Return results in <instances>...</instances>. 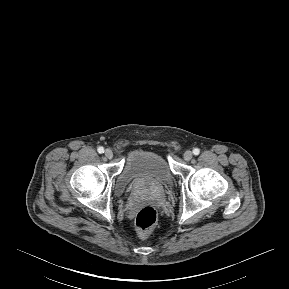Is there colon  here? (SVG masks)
Segmentation results:
<instances>
[{"instance_id":"1","label":"colon","mask_w":289,"mask_h":289,"mask_svg":"<svg viewBox=\"0 0 289 289\" xmlns=\"http://www.w3.org/2000/svg\"><path fill=\"white\" fill-rule=\"evenodd\" d=\"M158 220V214L154 207L144 206L142 207L135 219V224L139 235L143 238L149 236L156 225Z\"/></svg>"}]
</instances>
